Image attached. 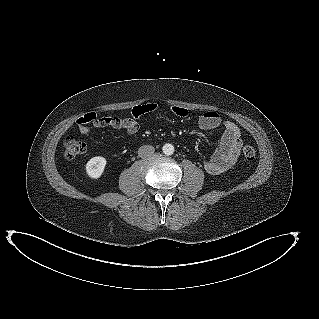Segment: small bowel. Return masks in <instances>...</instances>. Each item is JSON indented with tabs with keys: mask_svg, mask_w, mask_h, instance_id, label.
I'll list each match as a JSON object with an SVG mask.
<instances>
[{
	"mask_svg": "<svg viewBox=\"0 0 319 319\" xmlns=\"http://www.w3.org/2000/svg\"><path fill=\"white\" fill-rule=\"evenodd\" d=\"M158 106L153 103H146L135 106L129 117L118 116H94V119L88 124H78L79 132L88 134L92 127H112L124 129L127 134L133 135L139 130L138 119L143 115L153 113ZM171 112L177 117L184 118L188 115V110L182 106L171 107ZM198 125L202 130H214L223 125L224 131L214 154L205 163V170L211 174H221L230 170L236 163L242 146L241 132L239 127L231 121H223L220 116L213 111L202 114L199 118Z\"/></svg>",
	"mask_w": 319,
	"mask_h": 319,
	"instance_id": "1",
	"label": "small bowel"
}]
</instances>
